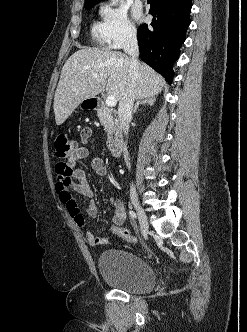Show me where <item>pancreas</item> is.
<instances>
[{
    "mask_svg": "<svg viewBox=\"0 0 247 332\" xmlns=\"http://www.w3.org/2000/svg\"><path fill=\"white\" fill-rule=\"evenodd\" d=\"M98 117L107 134H112L114 130V122L109 113L106 110L101 109L98 111Z\"/></svg>",
    "mask_w": 247,
    "mask_h": 332,
    "instance_id": "pancreas-1",
    "label": "pancreas"
}]
</instances>
